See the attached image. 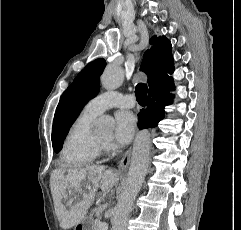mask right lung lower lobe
I'll use <instances>...</instances> for the list:
<instances>
[{
	"instance_id": "1",
	"label": "right lung lower lobe",
	"mask_w": 241,
	"mask_h": 230,
	"mask_svg": "<svg viewBox=\"0 0 241 230\" xmlns=\"http://www.w3.org/2000/svg\"><path fill=\"white\" fill-rule=\"evenodd\" d=\"M173 89V79L169 76L149 88L147 108L142 109L138 114L139 129L154 127L165 117L164 108L172 103L174 96L170 94V91Z\"/></svg>"
}]
</instances>
